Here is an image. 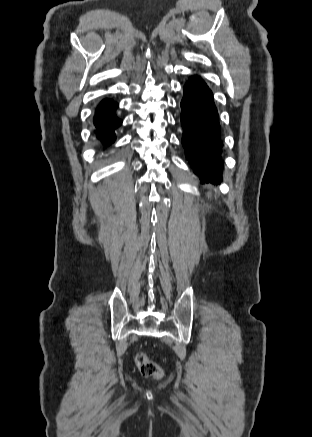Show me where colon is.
Here are the masks:
<instances>
[{
    "mask_svg": "<svg viewBox=\"0 0 312 437\" xmlns=\"http://www.w3.org/2000/svg\"><path fill=\"white\" fill-rule=\"evenodd\" d=\"M135 363L141 374L145 377L158 379L163 374L160 366L148 359L144 353L137 354Z\"/></svg>",
    "mask_w": 312,
    "mask_h": 437,
    "instance_id": "5ec220e1",
    "label": "colon"
}]
</instances>
